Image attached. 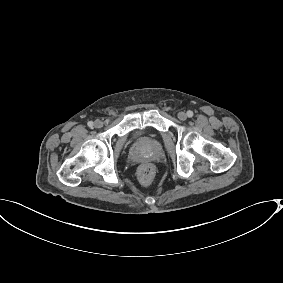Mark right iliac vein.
I'll use <instances>...</instances> for the list:
<instances>
[{
  "instance_id": "right-iliac-vein-1",
  "label": "right iliac vein",
  "mask_w": 283,
  "mask_h": 283,
  "mask_svg": "<svg viewBox=\"0 0 283 283\" xmlns=\"http://www.w3.org/2000/svg\"><path fill=\"white\" fill-rule=\"evenodd\" d=\"M94 127L99 129V128H102L103 127V122L101 120H96L94 122Z\"/></svg>"
}]
</instances>
